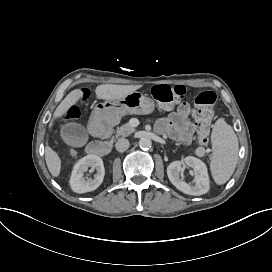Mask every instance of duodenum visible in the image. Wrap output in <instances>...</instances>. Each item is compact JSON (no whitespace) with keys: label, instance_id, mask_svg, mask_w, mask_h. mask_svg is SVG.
Here are the masks:
<instances>
[{"label":"duodenum","instance_id":"obj_1","mask_svg":"<svg viewBox=\"0 0 272 272\" xmlns=\"http://www.w3.org/2000/svg\"><path fill=\"white\" fill-rule=\"evenodd\" d=\"M89 129L92 135L98 138V140L91 142L87 146L88 154L99 157L106 156L111 150V145L106 141L110 134V126L106 117L105 108H96Z\"/></svg>","mask_w":272,"mask_h":272}]
</instances>
